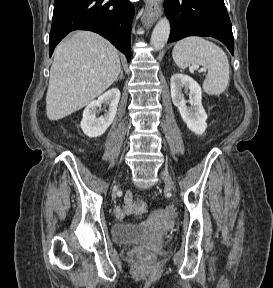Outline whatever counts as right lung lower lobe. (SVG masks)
<instances>
[{
	"mask_svg": "<svg viewBox=\"0 0 273 288\" xmlns=\"http://www.w3.org/2000/svg\"><path fill=\"white\" fill-rule=\"evenodd\" d=\"M134 6L128 0H55L49 55L73 30H90L108 39L131 59Z\"/></svg>",
	"mask_w": 273,
	"mask_h": 288,
	"instance_id": "1",
	"label": "right lung lower lobe"
}]
</instances>
